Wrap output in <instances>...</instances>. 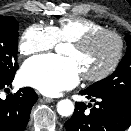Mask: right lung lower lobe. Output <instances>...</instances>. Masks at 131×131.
<instances>
[{"label":"right lung lower lobe","instance_id":"right-lung-lower-lobe-1","mask_svg":"<svg viewBox=\"0 0 131 131\" xmlns=\"http://www.w3.org/2000/svg\"><path fill=\"white\" fill-rule=\"evenodd\" d=\"M13 78L0 82V89L10 85ZM37 99L38 95L30 87L8 95L5 100L0 98V131H24Z\"/></svg>","mask_w":131,"mask_h":131}]
</instances>
